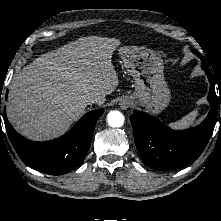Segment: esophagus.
<instances>
[{
	"instance_id": "34e87169",
	"label": "esophagus",
	"mask_w": 221,
	"mask_h": 221,
	"mask_svg": "<svg viewBox=\"0 0 221 221\" xmlns=\"http://www.w3.org/2000/svg\"><path fill=\"white\" fill-rule=\"evenodd\" d=\"M130 105H131V103H130V101H128L127 99H123V100H121V102H120V107H121L122 109H126V108H128Z\"/></svg>"
}]
</instances>
